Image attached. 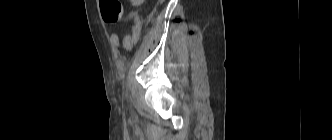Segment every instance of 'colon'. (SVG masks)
Returning a JSON list of instances; mask_svg holds the SVG:
<instances>
[{
	"label": "colon",
	"instance_id": "colon-1",
	"mask_svg": "<svg viewBox=\"0 0 332 140\" xmlns=\"http://www.w3.org/2000/svg\"><path fill=\"white\" fill-rule=\"evenodd\" d=\"M100 8L106 23L114 24L121 20L123 6L119 0H100Z\"/></svg>",
	"mask_w": 332,
	"mask_h": 140
}]
</instances>
